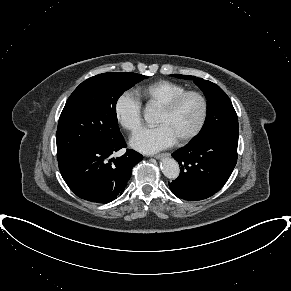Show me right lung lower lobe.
<instances>
[{
    "label": "right lung lower lobe",
    "instance_id": "98d812e1",
    "mask_svg": "<svg viewBox=\"0 0 291 291\" xmlns=\"http://www.w3.org/2000/svg\"><path fill=\"white\" fill-rule=\"evenodd\" d=\"M123 136L106 145L79 149L58 161L61 175L78 197L97 203H108L125 190L132 168L143 156L128 149L124 155L110 159L125 148Z\"/></svg>",
    "mask_w": 291,
    "mask_h": 291
}]
</instances>
